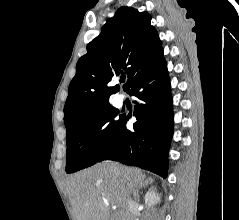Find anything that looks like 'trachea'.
I'll return each instance as SVG.
<instances>
[{"label": "trachea", "instance_id": "trachea-1", "mask_svg": "<svg viewBox=\"0 0 239 220\" xmlns=\"http://www.w3.org/2000/svg\"><path fill=\"white\" fill-rule=\"evenodd\" d=\"M121 82H124V79H121Z\"/></svg>", "mask_w": 239, "mask_h": 220}]
</instances>
